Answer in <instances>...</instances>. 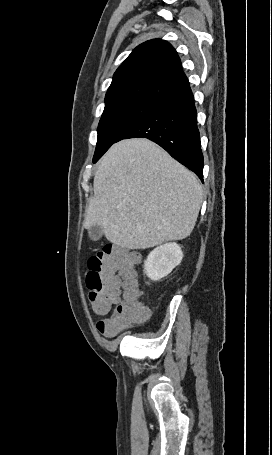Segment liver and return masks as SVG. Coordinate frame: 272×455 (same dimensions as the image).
Wrapping results in <instances>:
<instances>
[{
  "mask_svg": "<svg viewBox=\"0 0 272 455\" xmlns=\"http://www.w3.org/2000/svg\"><path fill=\"white\" fill-rule=\"evenodd\" d=\"M93 188L84 226H100L107 240L127 249L187 238L203 199L196 176L147 139L114 144Z\"/></svg>",
  "mask_w": 272,
  "mask_h": 455,
  "instance_id": "1",
  "label": "liver"
}]
</instances>
